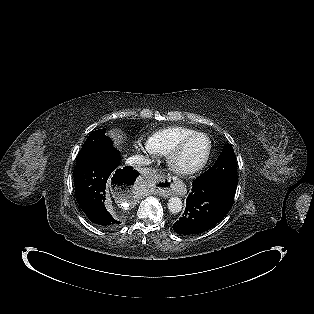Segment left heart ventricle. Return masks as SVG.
Segmentation results:
<instances>
[{"label":"left heart ventricle","instance_id":"obj_1","mask_svg":"<svg viewBox=\"0 0 314 314\" xmlns=\"http://www.w3.org/2000/svg\"><path fill=\"white\" fill-rule=\"evenodd\" d=\"M206 149V140L202 137L195 138L187 146L183 156V162L185 164H194L199 162L205 155Z\"/></svg>","mask_w":314,"mask_h":314}]
</instances>
